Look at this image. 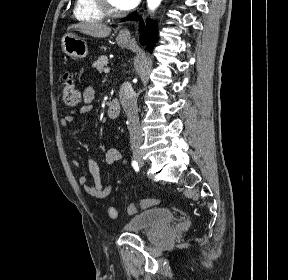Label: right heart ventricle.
I'll return each mask as SVG.
<instances>
[{
	"label": "right heart ventricle",
	"mask_w": 288,
	"mask_h": 280,
	"mask_svg": "<svg viewBox=\"0 0 288 280\" xmlns=\"http://www.w3.org/2000/svg\"><path fill=\"white\" fill-rule=\"evenodd\" d=\"M74 15L79 21L90 23L100 22L104 18L96 0H76Z\"/></svg>",
	"instance_id": "1"
}]
</instances>
